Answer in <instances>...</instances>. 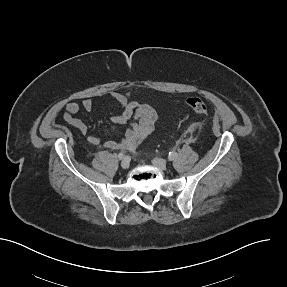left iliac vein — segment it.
<instances>
[{"label": "left iliac vein", "instance_id": "obj_1", "mask_svg": "<svg viewBox=\"0 0 287 287\" xmlns=\"http://www.w3.org/2000/svg\"><path fill=\"white\" fill-rule=\"evenodd\" d=\"M152 163L155 167H157L160 170H165L167 167V162L164 159L161 158H154L152 160Z\"/></svg>", "mask_w": 287, "mask_h": 287}]
</instances>
